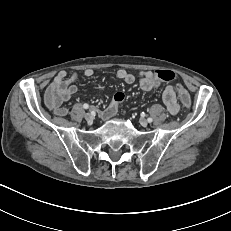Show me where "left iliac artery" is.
I'll use <instances>...</instances> for the list:
<instances>
[{
	"label": "left iliac artery",
	"mask_w": 231,
	"mask_h": 231,
	"mask_svg": "<svg viewBox=\"0 0 231 231\" xmlns=\"http://www.w3.org/2000/svg\"><path fill=\"white\" fill-rule=\"evenodd\" d=\"M147 121H148L149 123H151V122L153 121V119L149 117V118L147 119Z\"/></svg>",
	"instance_id": "left-iliac-artery-1"
}]
</instances>
